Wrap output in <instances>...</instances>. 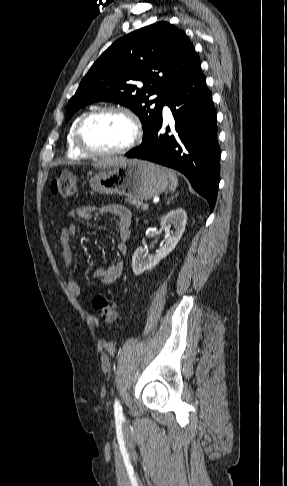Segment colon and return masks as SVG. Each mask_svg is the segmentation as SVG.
<instances>
[{"label": "colon", "mask_w": 287, "mask_h": 486, "mask_svg": "<svg viewBox=\"0 0 287 486\" xmlns=\"http://www.w3.org/2000/svg\"><path fill=\"white\" fill-rule=\"evenodd\" d=\"M75 185L74 175L69 171H61L51 181L50 190L53 194L68 197L74 193ZM92 305L106 325H112L115 322L117 309L115 303L109 298L101 294L96 295Z\"/></svg>", "instance_id": "obj_1"}]
</instances>
